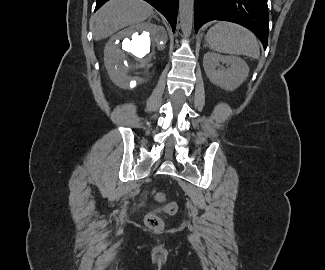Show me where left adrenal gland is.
<instances>
[{
  "label": "left adrenal gland",
  "instance_id": "obj_1",
  "mask_svg": "<svg viewBox=\"0 0 325 270\" xmlns=\"http://www.w3.org/2000/svg\"><path fill=\"white\" fill-rule=\"evenodd\" d=\"M204 48H206L207 47V42L204 44V46H203Z\"/></svg>",
  "mask_w": 325,
  "mask_h": 270
}]
</instances>
